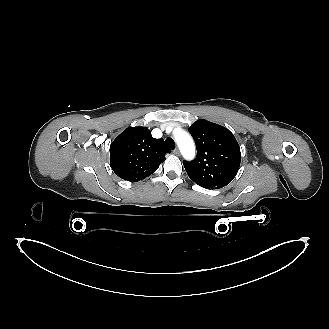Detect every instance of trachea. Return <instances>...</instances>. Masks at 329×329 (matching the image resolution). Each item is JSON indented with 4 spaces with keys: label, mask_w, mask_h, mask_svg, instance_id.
<instances>
[{
    "label": "trachea",
    "mask_w": 329,
    "mask_h": 329,
    "mask_svg": "<svg viewBox=\"0 0 329 329\" xmlns=\"http://www.w3.org/2000/svg\"><path fill=\"white\" fill-rule=\"evenodd\" d=\"M165 144L166 146L170 149V150H174L175 149V143L174 140L172 138H167L165 140Z\"/></svg>",
    "instance_id": "1"
}]
</instances>
